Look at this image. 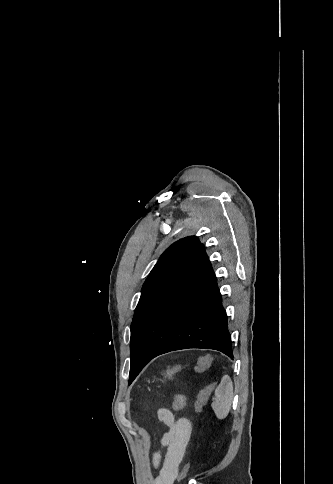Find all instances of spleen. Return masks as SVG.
Listing matches in <instances>:
<instances>
[{
  "label": "spleen",
  "mask_w": 333,
  "mask_h": 484,
  "mask_svg": "<svg viewBox=\"0 0 333 484\" xmlns=\"http://www.w3.org/2000/svg\"><path fill=\"white\" fill-rule=\"evenodd\" d=\"M233 398V383L228 375L222 377L220 384L215 389V399L211 407L220 420L225 419L231 409Z\"/></svg>",
  "instance_id": "3e777b00"
}]
</instances>
